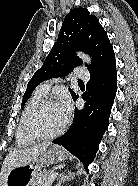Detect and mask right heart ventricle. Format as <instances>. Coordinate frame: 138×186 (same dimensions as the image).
<instances>
[{
  "label": "right heart ventricle",
  "mask_w": 138,
  "mask_h": 186,
  "mask_svg": "<svg viewBox=\"0 0 138 186\" xmlns=\"http://www.w3.org/2000/svg\"><path fill=\"white\" fill-rule=\"evenodd\" d=\"M47 92L43 89L42 86H39L33 96L30 98L27 106L25 107L21 119L19 121L17 130H16V145L18 147H26L31 145L34 141L26 138L22 131V122L23 118L26 115V113L29 111V109L34 106L37 102L41 101L46 97Z\"/></svg>",
  "instance_id": "e07e8e85"
}]
</instances>
